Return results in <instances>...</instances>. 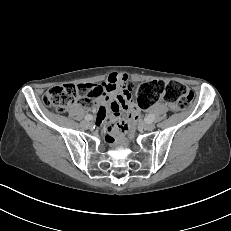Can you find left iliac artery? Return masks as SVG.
Instances as JSON below:
<instances>
[{
  "instance_id": "obj_1",
  "label": "left iliac artery",
  "mask_w": 231,
  "mask_h": 231,
  "mask_svg": "<svg viewBox=\"0 0 231 231\" xmlns=\"http://www.w3.org/2000/svg\"><path fill=\"white\" fill-rule=\"evenodd\" d=\"M154 115H152V114H149L147 117H146V119H147V121H149V122H152L153 120H154Z\"/></svg>"
}]
</instances>
